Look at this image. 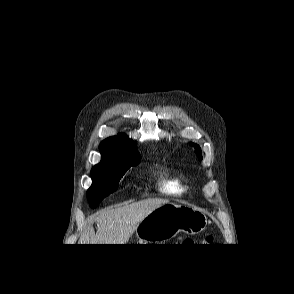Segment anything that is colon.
Wrapping results in <instances>:
<instances>
[{"label": "colon", "instance_id": "obj_1", "mask_svg": "<svg viewBox=\"0 0 294 294\" xmlns=\"http://www.w3.org/2000/svg\"><path fill=\"white\" fill-rule=\"evenodd\" d=\"M207 240H208V241H210V240H211V238H210V237H208V238H207Z\"/></svg>", "mask_w": 294, "mask_h": 294}]
</instances>
